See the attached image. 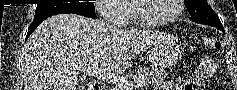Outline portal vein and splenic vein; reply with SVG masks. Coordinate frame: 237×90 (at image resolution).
<instances>
[{"label": "portal vein and splenic vein", "instance_id": "obj_1", "mask_svg": "<svg viewBox=\"0 0 237 90\" xmlns=\"http://www.w3.org/2000/svg\"><path fill=\"white\" fill-rule=\"evenodd\" d=\"M79 72H86L83 70V66H78ZM91 78H100V80H104V82H110V84H114L117 90H130V86L133 88V84H129L125 78H119V76H115V74H99V72H95V74H89Z\"/></svg>", "mask_w": 237, "mask_h": 90}]
</instances>
